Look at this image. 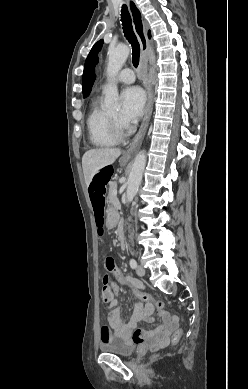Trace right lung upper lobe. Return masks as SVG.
Listing matches in <instances>:
<instances>
[{
    "label": "right lung upper lobe",
    "instance_id": "right-lung-upper-lobe-1",
    "mask_svg": "<svg viewBox=\"0 0 248 389\" xmlns=\"http://www.w3.org/2000/svg\"><path fill=\"white\" fill-rule=\"evenodd\" d=\"M148 37H149V38L151 37L150 31H149V33H148Z\"/></svg>",
    "mask_w": 248,
    "mask_h": 389
}]
</instances>
